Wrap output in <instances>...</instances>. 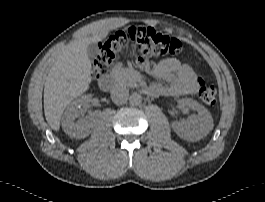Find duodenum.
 I'll use <instances>...</instances> for the list:
<instances>
[{"label":"duodenum","instance_id":"1","mask_svg":"<svg viewBox=\"0 0 265 202\" xmlns=\"http://www.w3.org/2000/svg\"><path fill=\"white\" fill-rule=\"evenodd\" d=\"M98 86L101 90H104V91H110L114 89L115 77L113 75H107V76L102 77L98 82ZM141 92L143 94L150 95L154 93V89L149 86H144L141 88Z\"/></svg>","mask_w":265,"mask_h":202}]
</instances>
